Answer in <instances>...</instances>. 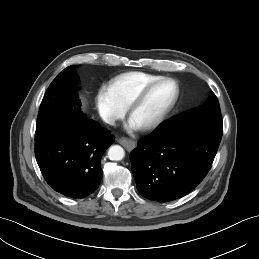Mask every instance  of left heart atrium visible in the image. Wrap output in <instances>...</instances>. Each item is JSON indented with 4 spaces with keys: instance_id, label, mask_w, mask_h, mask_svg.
Segmentation results:
<instances>
[{
    "instance_id": "39dd6f15",
    "label": "left heart atrium",
    "mask_w": 259,
    "mask_h": 259,
    "mask_svg": "<svg viewBox=\"0 0 259 259\" xmlns=\"http://www.w3.org/2000/svg\"><path fill=\"white\" fill-rule=\"evenodd\" d=\"M140 128V125H138L134 120L130 118L128 122V129L129 130H138Z\"/></svg>"
}]
</instances>
